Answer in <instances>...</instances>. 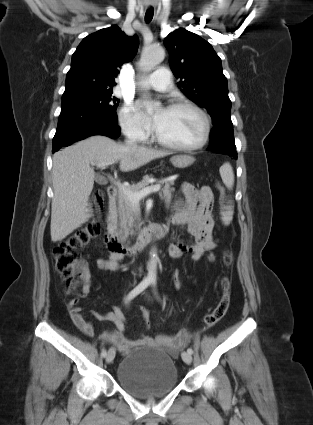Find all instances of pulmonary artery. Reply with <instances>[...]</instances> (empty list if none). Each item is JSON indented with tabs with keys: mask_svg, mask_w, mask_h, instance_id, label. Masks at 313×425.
I'll return each mask as SVG.
<instances>
[{
	"mask_svg": "<svg viewBox=\"0 0 313 425\" xmlns=\"http://www.w3.org/2000/svg\"><path fill=\"white\" fill-rule=\"evenodd\" d=\"M143 84L158 91H165L172 85L171 73L167 68H158L143 81Z\"/></svg>",
	"mask_w": 313,
	"mask_h": 425,
	"instance_id": "e3ab8cb5",
	"label": "pulmonary artery"
}]
</instances>
